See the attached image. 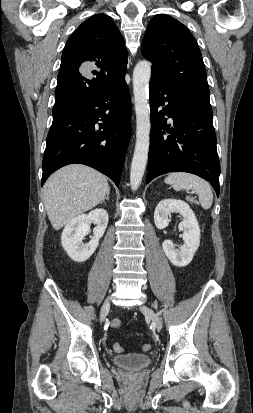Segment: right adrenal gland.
<instances>
[{
  "mask_svg": "<svg viewBox=\"0 0 253 413\" xmlns=\"http://www.w3.org/2000/svg\"><path fill=\"white\" fill-rule=\"evenodd\" d=\"M109 194H110V191L107 193V196L100 202V204H103L104 202H105V200H109Z\"/></svg>",
  "mask_w": 253,
  "mask_h": 413,
  "instance_id": "obj_1",
  "label": "right adrenal gland"
}]
</instances>
